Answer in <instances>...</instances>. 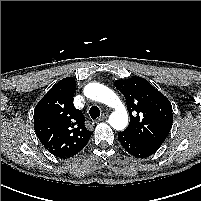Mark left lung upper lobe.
Listing matches in <instances>:
<instances>
[{
  "mask_svg": "<svg viewBox=\"0 0 201 201\" xmlns=\"http://www.w3.org/2000/svg\"><path fill=\"white\" fill-rule=\"evenodd\" d=\"M114 85L124 95L130 115L125 132L157 151L172 127L170 101L141 77L117 80Z\"/></svg>",
  "mask_w": 201,
  "mask_h": 201,
  "instance_id": "1",
  "label": "left lung upper lobe"
}]
</instances>
